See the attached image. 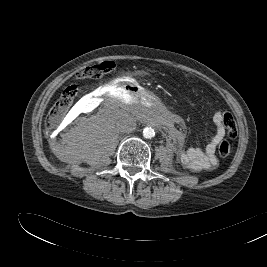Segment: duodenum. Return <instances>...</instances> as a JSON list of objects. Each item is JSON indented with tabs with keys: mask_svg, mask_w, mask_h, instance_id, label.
<instances>
[{
	"mask_svg": "<svg viewBox=\"0 0 267 267\" xmlns=\"http://www.w3.org/2000/svg\"><path fill=\"white\" fill-rule=\"evenodd\" d=\"M113 90L115 92H127L129 94L139 95L149 99L152 103H158L160 101V96L154 90L140 85H134L126 82L115 83L113 85Z\"/></svg>",
	"mask_w": 267,
	"mask_h": 267,
	"instance_id": "duodenum-1",
	"label": "duodenum"
}]
</instances>
